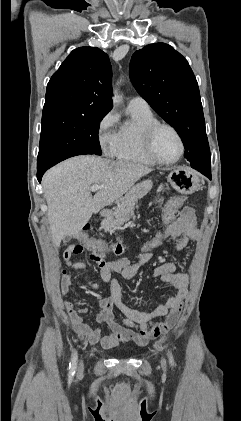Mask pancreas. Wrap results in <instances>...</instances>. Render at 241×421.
<instances>
[{"instance_id":"pancreas-1","label":"pancreas","mask_w":241,"mask_h":421,"mask_svg":"<svg viewBox=\"0 0 241 421\" xmlns=\"http://www.w3.org/2000/svg\"><path fill=\"white\" fill-rule=\"evenodd\" d=\"M152 189V181H142L125 194L124 197L116 201L112 216L102 222V228L105 232L114 233L121 226L130 220V214L138 199L143 198Z\"/></svg>"}]
</instances>
